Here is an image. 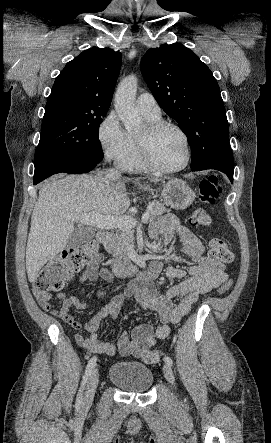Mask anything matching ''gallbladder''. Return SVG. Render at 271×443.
I'll list each match as a JSON object with an SVG mask.
<instances>
[{
  "instance_id": "gallbladder-1",
  "label": "gallbladder",
  "mask_w": 271,
  "mask_h": 443,
  "mask_svg": "<svg viewBox=\"0 0 271 443\" xmlns=\"http://www.w3.org/2000/svg\"><path fill=\"white\" fill-rule=\"evenodd\" d=\"M94 233L91 231H85V229H75L71 235H69L66 243V247H79L81 243H86L88 239H92Z\"/></svg>"
}]
</instances>
